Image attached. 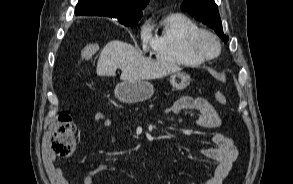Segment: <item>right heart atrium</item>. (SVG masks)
Here are the masks:
<instances>
[{"label": "right heart atrium", "instance_id": "1", "mask_svg": "<svg viewBox=\"0 0 293 184\" xmlns=\"http://www.w3.org/2000/svg\"><path fill=\"white\" fill-rule=\"evenodd\" d=\"M139 36L141 46L144 51H150L154 46V36L152 35L151 25L149 21H144L139 27Z\"/></svg>", "mask_w": 293, "mask_h": 184}]
</instances>
